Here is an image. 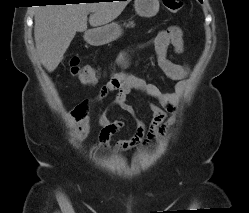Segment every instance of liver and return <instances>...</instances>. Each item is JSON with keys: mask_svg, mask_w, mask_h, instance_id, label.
<instances>
[{"mask_svg": "<svg viewBox=\"0 0 249 213\" xmlns=\"http://www.w3.org/2000/svg\"><path fill=\"white\" fill-rule=\"evenodd\" d=\"M129 1L39 6L35 12L34 38L42 65L48 72L57 68L76 32L87 29L89 13L92 27L106 25L121 14Z\"/></svg>", "mask_w": 249, "mask_h": 213, "instance_id": "1", "label": "liver"}]
</instances>
